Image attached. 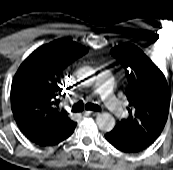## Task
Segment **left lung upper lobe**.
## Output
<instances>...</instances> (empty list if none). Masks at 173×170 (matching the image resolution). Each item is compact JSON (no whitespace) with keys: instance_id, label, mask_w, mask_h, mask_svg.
Wrapping results in <instances>:
<instances>
[{"instance_id":"1","label":"left lung upper lobe","mask_w":173,"mask_h":170,"mask_svg":"<svg viewBox=\"0 0 173 170\" xmlns=\"http://www.w3.org/2000/svg\"><path fill=\"white\" fill-rule=\"evenodd\" d=\"M111 54L123 66L128 80L129 117L114 132L148 147L159 137L167 121L171 93L164 74L131 43L114 47Z\"/></svg>"}]
</instances>
